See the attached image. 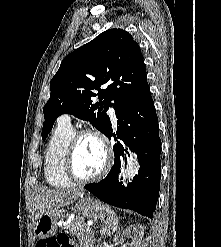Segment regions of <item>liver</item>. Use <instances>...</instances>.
<instances>
[{
	"label": "liver",
	"mask_w": 221,
	"mask_h": 247,
	"mask_svg": "<svg viewBox=\"0 0 221 247\" xmlns=\"http://www.w3.org/2000/svg\"><path fill=\"white\" fill-rule=\"evenodd\" d=\"M83 193L82 189L50 190L42 189L34 198V217L36 222L43 213L67 206L76 201Z\"/></svg>",
	"instance_id": "obj_1"
}]
</instances>
